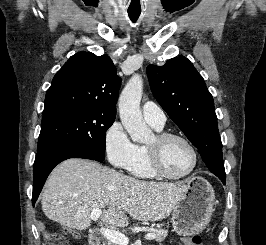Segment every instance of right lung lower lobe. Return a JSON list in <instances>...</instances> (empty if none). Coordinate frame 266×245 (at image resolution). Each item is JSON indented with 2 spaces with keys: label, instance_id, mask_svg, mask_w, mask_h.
<instances>
[{
  "label": "right lung lower lobe",
  "instance_id": "1",
  "mask_svg": "<svg viewBox=\"0 0 266 245\" xmlns=\"http://www.w3.org/2000/svg\"><path fill=\"white\" fill-rule=\"evenodd\" d=\"M69 158H85L101 163L104 160L89 150L66 145L54 146L38 152L33 166V207L52 169L60 162Z\"/></svg>",
  "mask_w": 266,
  "mask_h": 245
}]
</instances>
